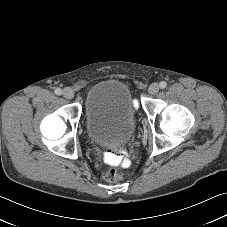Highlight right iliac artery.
Instances as JSON below:
<instances>
[{
    "mask_svg": "<svg viewBox=\"0 0 227 227\" xmlns=\"http://www.w3.org/2000/svg\"><path fill=\"white\" fill-rule=\"evenodd\" d=\"M55 94L56 95H61L62 94V90L60 88H56L55 89Z\"/></svg>",
    "mask_w": 227,
    "mask_h": 227,
    "instance_id": "82829eb1",
    "label": "right iliac artery"
}]
</instances>
